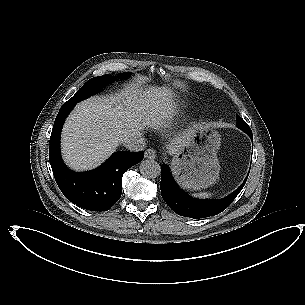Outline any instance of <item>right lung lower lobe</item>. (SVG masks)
Masks as SVG:
<instances>
[{
    "instance_id": "right-lung-lower-lobe-1",
    "label": "right lung lower lobe",
    "mask_w": 305,
    "mask_h": 305,
    "mask_svg": "<svg viewBox=\"0 0 305 305\" xmlns=\"http://www.w3.org/2000/svg\"><path fill=\"white\" fill-rule=\"evenodd\" d=\"M75 105L65 103L55 119L50 137L49 160L55 180L72 203L90 211H107L121 197L122 176L143 160V152H115L100 167L77 173L63 163L60 155L62 125Z\"/></svg>"
}]
</instances>
